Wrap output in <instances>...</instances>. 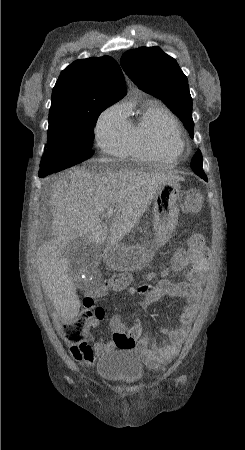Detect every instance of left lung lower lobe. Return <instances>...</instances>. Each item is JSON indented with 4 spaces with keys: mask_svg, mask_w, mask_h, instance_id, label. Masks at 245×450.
<instances>
[{
    "mask_svg": "<svg viewBox=\"0 0 245 450\" xmlns=\"http://www.w3.org/2000/svg\"><path fill=\"white\" fill-rule=\"evenodd\" d=\"M202 179H204L205 181H207V177L206 176H202Z\"/></svg>",
    "mask_w": 245,
    "mask_h": 450,
    "instance_id": "1",
    "label": "left lung lower lobe"
}]
</instances>
